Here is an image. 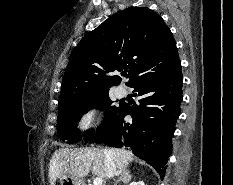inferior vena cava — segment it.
Segmentation results:
<instances>
[{
    "mask_svg": "<svg viewBox=\"0 0 233 185\" xmlns=\"http://www.w3.org/2000/svg\"><path fill=\"white\" fill-rule=\"evenodd\" d=\"M105 154V171H106V177L112 178L114 175H117L116 171V165L114 163V160L112 156L108 152H104Z\"/></svg>",
    "mask_w": 233,
    "mask_h": 185,
    "instance_id": "1",
    "label": "inferior vena cava"
}]
</instances>
